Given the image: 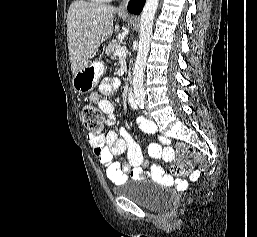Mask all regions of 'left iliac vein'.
Segmentation results:
<instances>
[{
	"label": "left iliac vein",
	"instance_id": "4c4485c4",
	"mask_svg": "<svg viewBox=\"0 0 257 237\" xmlns=\"http://www.w3.org/2000/svg\"><path fill=\"white\" fill-rule=\"evenodd\" d=\"M145 116H146V118L151 119L150 111L148 108H146V110H145Z\"/></svg>",
	"mask_w": 257,
	"mask_h": 237
}]
</instances>
